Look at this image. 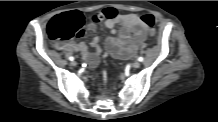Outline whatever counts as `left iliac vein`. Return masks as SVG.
<instances>
[{
  "instance_id": "left-iliac-vein-1",
  "label": "left iliac vein",
  "mask_w": 218,
  "mask_h": 122,
  "mask_svg": "<svg viewBox=\"0 0 218 122\" xmlns=\"http://www.w3.org/2000/svg\"><path fill=\"white\" fill-rule=\"evenodd\" d=\"M133 68H139L140 67V62L139 61H135L133 64H132Z\"/></svg>"
}]
</instances>
